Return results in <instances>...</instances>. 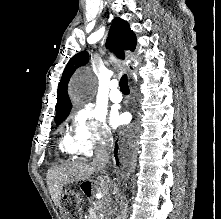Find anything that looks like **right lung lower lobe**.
Segmentation results:
<instances>
[{"label": "right lung lower lobe", "mask_w": 221, "mask_h": 219, "mask_svg": "<svg viewBox=\"0 0 221 219\" xmlns=\"http://www.w3.org/2000/svg\"><path fill=\"white\" fill-rule=\"evenodd\" d=\"M119 147H118V144L116 143L115 144V149H114V153L117 154V151H118ZM116 161H117V164L119 163V160L116 158Z\"/></svg>", "instance_id": "right-lung-lower-lobe-1"}]
</instances>
